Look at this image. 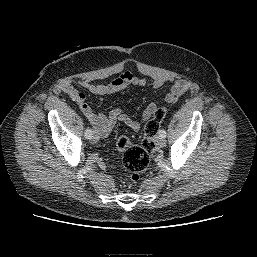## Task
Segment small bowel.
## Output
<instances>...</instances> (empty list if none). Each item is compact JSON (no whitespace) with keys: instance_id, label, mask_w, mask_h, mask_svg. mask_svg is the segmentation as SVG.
<instances>
[{"instance_id":"small-bowel-1","label":"small bowel","mask_w":257,"mask_h":257,"mask_svg":"<svg viewBox=\"0 0 257 257\" xmlns=\"http://www.w3.org/2000/svg\"><path fill=\"white\" fill-rule=\"evenodd\" d=\"M167 82V78L158 77L152 82L154 88H160ZM75 85L87 90L94 95H106L120 92L128 87H144L146 80L141 77L134 76L126 71L121 73L115 79L107 84H94L85 79H79L75 82L67 81L62 85V90L66 93L78 106L82 114L86 117L93 128L94 134L98 138L106 137L117 123L125 124L133 131L140 129L141 123L127 114L120 108H114L109 113H94L91 107L87 104L84 93L80 92ZM190 87V83L184 79L175 80L169 91L164 95V103H173L177 101ZM160 103L153 101L144 109L141 121L148 120L159 108Z\"/></svg>"}]
</instances>
